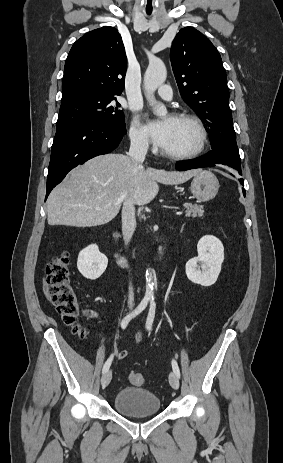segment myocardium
I'll return each mask as SVG.
<instances>
[{
	"mask_svg": "<svg viewBox=\"0 0 283 463\" xmlns=\"http://www.w3.org/2000/svg\"><path fill=\"white\" fill-rule=\"evenodd\" d=\"M171 119L180 120V121H187L192 123L199 134V141L195 149L185 153H169L166 151L161 150L160 153L172 160H190L198 157L205 149L207 140H208V133L207 129L203 123V121L195 114L188 113V112H181L177 113L172 116Z\"/></svg>",
	"mask_w": 283,
	"mask_h": 463,
	"instance_id": "1",
	"label": "myocardium"
}]
</instances>
